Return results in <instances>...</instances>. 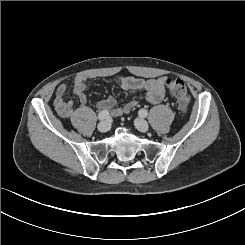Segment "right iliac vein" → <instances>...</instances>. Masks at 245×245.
Listing matches in <instances>:
<instances>
[{
  "label": "right iliac vein",
  "mask_w": 245,
  "mask_h": 245,
  "mask_svg": "<svg viewBox=\"0 0 245 245\" xmlns=\"http://www.w3.org/2000/svg\"><path fill=\"white\" fill-rule=\"evenodd\" d=\"M110 129V124L107 121H102L98 124V130L101 133H106Z\"/></svg>",
  "instance_id": "obj_1"
}]
</instances>
